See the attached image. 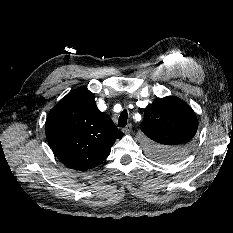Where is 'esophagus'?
<instances>
[{
	"label": "esophagus",
	"mask_w": 233,
	"mask_h": 233,
	"mask_svg": "<svg viewBox=\"0 0 233 233\" xmlns=\"http://www.w3.org/2000/svg\"><path fill=\"white\" fill-rule=\"evenodd\" d=\"M131 130H132V125L131 124H128L126 127H124L122 129L124 134H129L131 132Z\"/></svg>",
	"instance_id": "obj_1"
}]
</instances>
